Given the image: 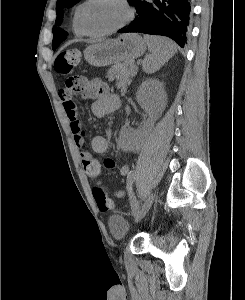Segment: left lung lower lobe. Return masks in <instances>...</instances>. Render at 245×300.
Returning a JSON list of instances; mask_svg holds the SVG:
<instances>
[{
  "mask_svg": "<svg viewBox=\"0 0 245 300\" xmlns=\"http://www.w3.org/2000/svg\"><path fill=\"white\" fill-rule=\"evenodd\" d=\"M132 5L138 15L118 32H141L163 35L176 41L181 47L186 42L189 26L190 2L188 0H134Z\"/></svg>",
  "mask_w": 245,
  "mask_h": 300,
  "instance_id": "0a47b994",
  "label": "left lung lower lobe"
}]
</instances>
